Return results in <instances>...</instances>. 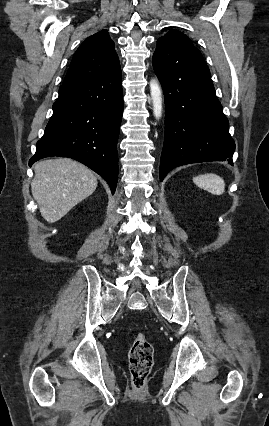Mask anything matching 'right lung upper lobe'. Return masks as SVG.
Wrapping results in <instances>:
<instances>
[{"label":"right lung upper lobe","instance_id":"obj_1","mask_svg":"<svg viewBox=\"0 0 269 426\" xmlns=\"http://www.w3.org/2000/svg\"><path fill=\"white\" fill-rule=\"evenodd\" d=\"M120 70L114 42L106 30L88 37L77 49L63 84L92 80Z\"/></svg>","mask_w":269,"mask_h":426}]
</instances>
